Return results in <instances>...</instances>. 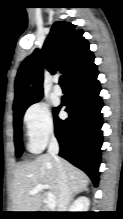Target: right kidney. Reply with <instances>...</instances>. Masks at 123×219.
Here are the masks:
<instances>
[{
    "label": "right kidney",
    "instance_id": "right-kidney-1",
    "mask_svg": "<svg viewBox=\"0 0 123 219\" xmlns=\"http://www.w3.org/2000/svg\"><path fill=\"white\" fill-rule=\"evenodd\" d=\"M90 200L86 196L79 197L71 206L70 212H88Z\"/></svg>",
    "mask_w": 123,
    "mask_h": 219
}]
</instances>
